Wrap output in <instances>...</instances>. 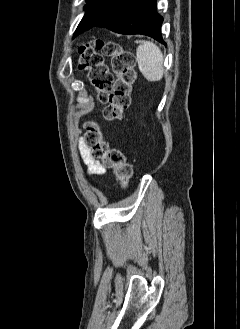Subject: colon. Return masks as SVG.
Returning a JSON list of instances; mask_svg holds the SVG:
<instances>
[{
    "label": "colon",
    "mask_w": 240,
    "mask_h": 329,
    "mask_svg": "<svg viewBox=\"0 0 240 329\" xmlns=\"http://www.w3.org/2000/svg\"><path fill=\"white\" fill-rule=\"evenodd\" d=\"M78 52L79 68L87 71L99 100L106 104L104 118L108 121L120 119L130 105L132 86L136 79L134 54L118 43L105 39L83 44ZM104 56L112 58L111 72L105 64ZM85 129L84 144L90 149L91 155L100 159L104 166L113 169L119 183L126 186L132 178L133 170L123 152L110 146L96 122H87Z\"/></svg>",
    "instance_id": "1"
}]
</instances>
